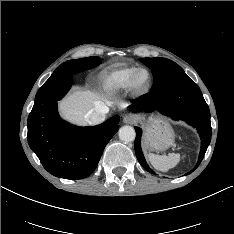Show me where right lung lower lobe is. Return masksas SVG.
Wrapping results in <instances>:
<instances>
[{"label":"right lung lower lobe","mask_w":234,"mask_h":234,"mask_svg":"<svg viewBox=\"0 0 234 234\" xmlns=\"http://www.w3.org/2000/svg\"><path fill=\"white\" fill-rule=\"evenodd\" d=\"M72 73L54 71L38 90L28 117V143L44 168L54 176L77 180L97 167L103 150L119 129V116L93 127H75L63 121L59 101L71 88Z\"/></svg>","instance_id":"98d812e1"}]
</instances>
